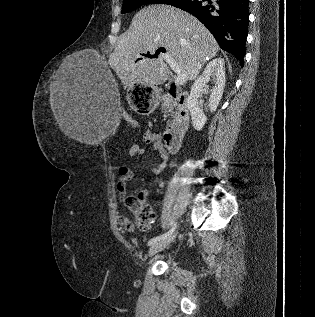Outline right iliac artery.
<instances>
[{
  "label": "right iliac artery",
  "instance_id": "82829eb1",
  "mask_svg": "<svg viewBox=\"0 0 315 317\" xmlns=\"http://www.w3.org/2000/svg\"><path fill=\"white\" fill-rule=\"evenodd\" d=\"M176 227H177V224L174 223L168 232H166V233H164V234H162L160 236H157V237H154V238L150 239L148 241V245L150 246V245H153L154 243H156L157 241L166 239L168 236H170L175 231Z\"/></svg>",
  "mask_w": 315,
  "mask_h": 317
}]
</instances>
